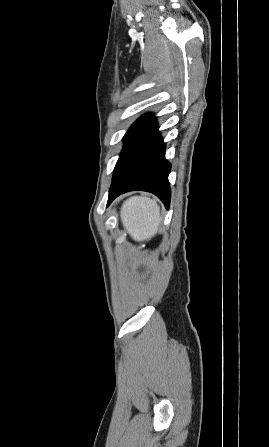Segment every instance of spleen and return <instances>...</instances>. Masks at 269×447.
Returning a JSON list of instances; mask_svg holds the SVG:
<instances>
[{"mask_svg": "<svg viewBox=\"0 0 269 447\" xmlns=\"http://www.w3.org/2000/svg\"><path fill=\"white\" fill-rule=\"evenodd\" d=\"M120 218L135 241H144L159 229L160 206L147 196H132L122 204Z\"/></svg>", "mask_w": 269, "mask_h": 447, "instance_id": "obj_1", "label": "spleen"}]
</instances>
